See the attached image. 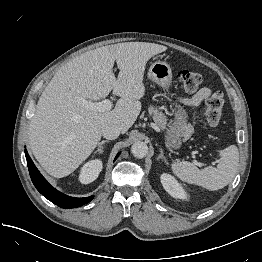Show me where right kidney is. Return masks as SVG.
I'll return each instance as SVG.
<instances>
[{"mask_svg": "<svg viewBox=\"0 0 262 262\" xmlns=\"http://www.w3.org/2000/svg\"><path fill=\"white\" fill-rule=\"evenodd\" d=\"M102 170V162L98 159L87 162L81 169L79 180L83 184H89L97 179Z\"/></svg>", "mask_w": 262, "mask_h": 262, "instance_id": "obj_1", "label": "right kidney"}]
</instances>
